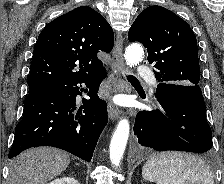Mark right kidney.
Segmentation results:
<instances>
[{"label":"right kidney","instance_id":"ca27d5eb","mask_svg":"<svg viewBox=\"0 0 224 184\" xmlns=\"http://www.w3.org/2000/svg\"><path fill=\"white\" fill-rule=\"evenodd\" d=\"M48 184H80L77 180L70 177H63L61 179H55Z\"/></svg>","mask_w":224,"mask_h":184}]
</instances>
